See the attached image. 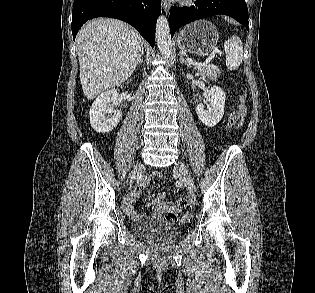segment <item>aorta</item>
I'll return each instance as SVG.
<instances>
[{"label":"aorta","instance_id":"762f6f07","mask_svg":"<svg viewBox=\"0 0 315 293\" xmlns=\"http://www.w3.org/2000/svg\"><path fill=\"white\" fill-rule=\"evenodd\" d=\"M155 35L160 53L166 59L170 58L172 55V40L168 20L164 15L157 19Z\"/></svg>","mask_w":315,"mask_h":293}]
</instances>
